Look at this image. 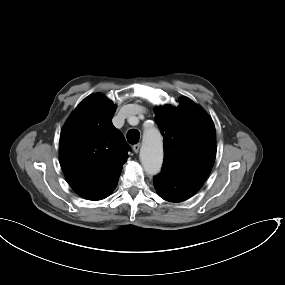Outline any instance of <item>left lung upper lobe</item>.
Returning <instances> with one entry per match:
<instances>
[{
	"label": "left lung upper lobe",
	"mask_w": 285,
	"mask_h": 285,
	"mask_svg": "<svg viewBox=\"0 0 285 285\" xmlns=\"http://www.w3.org/2000/svg\"><path fill=\"white\" fill-rule=\"evenodd\" d=\"M155 121L164 138L162 171L203 184L216 157L212 119L187 97L179 106L155 109Z\"/></svg>",
	"instance_id": "1"
}]
</instances>
